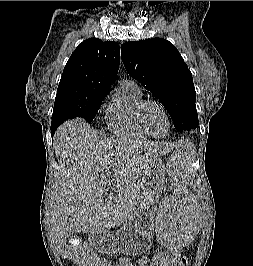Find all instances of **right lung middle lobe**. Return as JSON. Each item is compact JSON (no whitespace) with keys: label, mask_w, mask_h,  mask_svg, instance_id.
<instances>
[{"label":"right lung middle lobe","mask_w":253,"mask_h":266,"mask_svg":"<svg viewBox=\"0 0 253 266\" xmlns=\"http://www.w3.org/2000/svg\"><path fill=\"white\" fill-rule=\"evenodd\" d=\"M107 94L99 93L81 100L55 101L51 124L60 125L62 122L74 117H82L88 122H92Z\"/></svg>","instance_id":"dd1d6c3e"}]
</instances>
